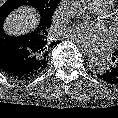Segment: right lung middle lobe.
<instances>
[{"label": "right lung middle lobe", "mask_w": 118, "mask_h": 118, "mask_svg": "<svg viewBox=\"0 0 118 118\" xmlns=\"http://www.w3.org/2000/svg\"><path fill=\"white\" fill-rule=\"evenodd\" d=\"M60 0H7L0 7V24H3L6 16L14 9L28 5L36 8L40 14V24L51 22L52 15Z\"/></svg>", "instance_id": "right-lung-middle-lobe-1"}]
</instances>
